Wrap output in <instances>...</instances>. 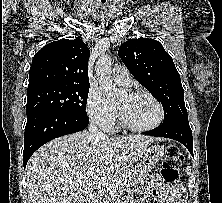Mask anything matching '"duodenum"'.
Instances as JSON below:
<instances>
[{
  "instance_id": "duodenum-1",
  "label": "duodenum",
  "mask_w": 222,
  "mask_h": 203,
  "mask_svg": "<svg viewBox=\"0 0 222 203\" xmlns=\"http://www.w3.org/2000/svg\"><path fill=\"white\" fill-rule=\"evenodd\" d=\"M89 203H96L95 197H92V198L90 199Z\"/></svg>"
}]
</instances>
